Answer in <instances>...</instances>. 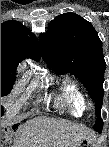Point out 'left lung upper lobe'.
<instances>
[{
    "instance_id": "5c2ea615",
    "label": "left lung upper lobe",
    "mask_w": 109,
    "mask_h": 147,
    "mask_svg": "<svg viewBox=\"0 0 109 147\" xmlns=\"http://www.w3.org/2000/svg\"><path fill=\"white\" fill-rule=\"evenodd\" d=\"M41 53L56 72H69L85 85L95 101L97 121L94 129H102L100 111L106 63L102 42L92 24L75 13H64L49 24V35L40 37Z\"/></svg>"
}]
</instances>
